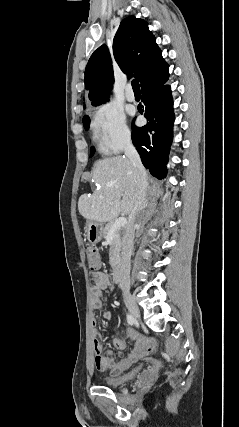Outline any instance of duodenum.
I'll list each match as a JSON object with an SVG mask.
<instances>
[{
	"mask_svg": "<svg viewBox=\"0 0 239 427\" xmlns=\"http://www.w3.org/2000/svg\"><path fill=\"white\" fill-rule=\"evenodd\" d=\"M122 275V266L119 261H115L112 267V277L115 282H118Z\"/></svg>",
	"mask_w": 239,
	"mask_h": 427,
	"instance_id": "1",
	"label": "duodenum"
}]
</instances>
